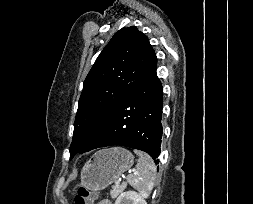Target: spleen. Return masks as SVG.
<instances>
[{"label":"spleen","mask_w":253,"mask_h":204,"mask_svg":"<svg viewBox=\"0 0 253 204\" xmlns=\"http://www.w3.org/2000/svg\"><path fill=\"white\" fill-rule=\"evenodd\" d=\"M134 152L139 156V159L133 174L127 176V182L137 189L142 196L147 197L154 186L156 167L147 153L139 150H134Z\"/></svg>","instance_id":"1"}]
</instances>
